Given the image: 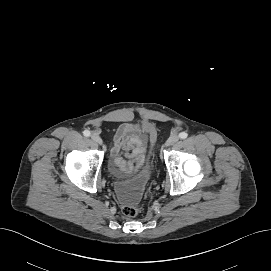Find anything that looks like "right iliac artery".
<instances>
[{
	"mask_svg": "<svg viewBox=\"0 0 271 271\" xmlns=\"http://www.w3.org/2000/svg\"><path fill=\"white\" fill-rule=\"evenodd\" d=\"M83 135L86 136V137H89L90 136V131L89 130H85L83 132Z\"/></svg>",
	"mask_w": 271,
	"mask_h": 271,
	"instance_id": "right-iliac-artery-1",
	"label": "right iliac artery"
}]
</instances>
